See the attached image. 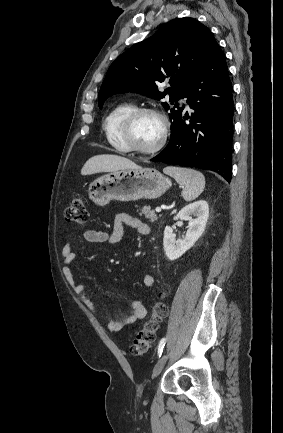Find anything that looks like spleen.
<instances>
[{
  "label": "spleen",
  "instance_id": "spleen-1",
  "mask_svg": "<svg viewBox=\"0 0 283 433\" xmlns=\"http://www.w3.org/2000/svg\"><path fill=\"white\" fill-rule=\"evenodd\" d=\"M163 172L170 174L179 184L185 186L182 190L184 200H195L205 188V176L199 170L181 168V166H165Z\"/></svg>",
  "mask_w": 283,
  "mask_h": 433
}]
</instances>
